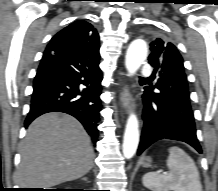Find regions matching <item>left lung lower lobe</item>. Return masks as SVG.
<instances>
[{"mask_svg": "<svg viewBox=\"0 0 218 191\" xmlns=\"http://www.w3.org/2000/svg\"><path fill=\"white\" fill-rule=\"evenodd\" d=\"M142 98L144 126L138 155L163 138L184 141L202 152L189 101L176 96L167 97L156 86L145 88Z\"/></svg>", "mask_w": 218, "mask_h": 191, "instance_id": "obj_1", "label": "left lung lower lobe"}]
</instances>
